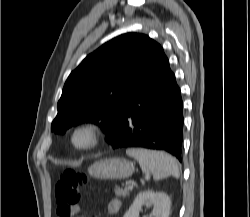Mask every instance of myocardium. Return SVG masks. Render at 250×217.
Returning <instances> with one entry per match:
<instances>
[{
	"label": "myocardium",
	"instance_id": "1",
	"mask_svg": "<svg viewBox=\"0 0 250 217\" xmlns=\"http://www.w3.org/2000/svg\"><path fill=\"white\" fill-rule=\"evenodd\" d=\"M83 138L80 142L79 139ZM100 140L99 127L90 122H85L77 125L70 135L72 146L78 151H89L95 148Z\"/></svg>",
	"mask_w": 250,
	"mask_h": 217
}]
</instances>
